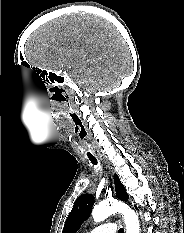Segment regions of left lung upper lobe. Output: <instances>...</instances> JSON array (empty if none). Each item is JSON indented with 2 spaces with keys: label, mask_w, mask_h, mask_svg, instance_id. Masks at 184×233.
<instances>
[{
  "label": "left lung upper lobe",
  "mask_w": 184,
  "mask_h": 233,
  "mask_svg": "<svg viewBox=\"0 0 184 233\" xmlns=\"http://www.w3.org/2000/svg\"><path fill=\"white\" fill-rule=\"evenodd\" d=\"M114 183L116 196L122 201H127L129 196L116 174H114ZM93 205V195L84 194L79 196L66 219L62 233H76L82 223L89 218Z\"/></svg>",
  "instance_id": "5c2ea615"
}]
</instances>
